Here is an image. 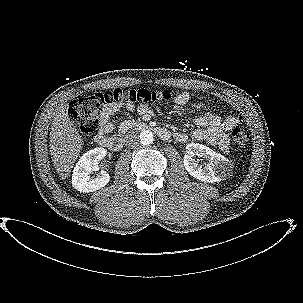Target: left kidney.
Masks as SVG:
<instances>
[{"mask_svg":"<svg viewBox=\"0 0 303 303\" xmlns=\"http://www.w3.org/2000/svg\"><path fill=\"white\" fill-rule=\"evenodd\" d=\"M194 155L207 159L209 163L199 165L196 163ZM183 162L191 176L207 183L220 182L231 174L229 160L203 144H187Z\"/></svg>","mask_w":303,"mask_h":303,"instance_id":"obj_1","label":"left kidney"}]
</instances>
